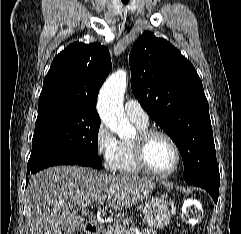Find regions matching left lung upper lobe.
<instances>
[{
  "label": "left lung upper lobe",
  "mask_w": 241,
  "mask_h": 234,
  "mask_svg": "<svg viewBox=\"0 0 241 234\" xmlns=\"http://www.w3.org/2000/svg\"><path fill=\"white\" fill-rule=\"evenodd\" d=\"M129 64L135 97L182 155L184 180L220 181L208 101L193 65L150 32L135 42Z\"/></svg>",
  "instance_id": "5c2ea615"
}]
</instances>
